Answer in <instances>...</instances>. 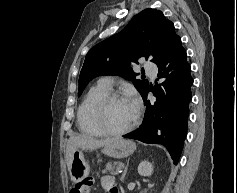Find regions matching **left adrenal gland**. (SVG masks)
<instances>
[{"mask_svg":"<svg viewBox=\"0 0 237 193\" xmlns=\"http://www.w3.org/2000/svg\"><path fill=\"white\" fill-rule=\"evenodd\" d=\"M128 165H129V163L127 164V167H126V169H125V171H124V173H123V175H122V177H121V180H122V181L124 180V177H125V175H126V173H127Z\"/></svg>","mask_w":237,"mask_h":193,"instance_id":"a2214340","label":"left adrenal gland"}]
</instances>
